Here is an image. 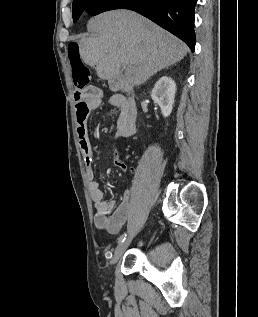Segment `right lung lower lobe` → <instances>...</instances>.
Returning a JSON list of instances; mask_svg holds the SVG:
<instances>
[{"label": "right lung lower lobe", "mask_w": 258, "mask_h": 317, "mask_svg": "<svg viewBox=\"0 0 258 317\" xmlns=\"http://www.w3.org/2000/svg\"><path fill=\"white\" fill-rule=\"evenodd\" d=\"M196 2L197 0H115L107 10L87 5L83 14L97 15L113 9H130L176 35L194 51Z\"/></svg>", "instance_id": "right-lung-lower-lobe-1"}]
</instances>
